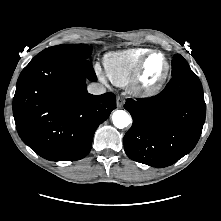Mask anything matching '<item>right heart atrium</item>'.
Returning <instances> with one entry per match:
<instances>
[{"label":"right heart atrium","instance_id":"obj_1","mask_svg":"<svg viewBox=\"0 0 221 221\" xmlns=\"http://www.w3.org/2000/svg\"><path fill=\"white\" fill-rule=\"evenodd\" d=\"M96 74L101 78L104 79V73L102 72L101 68L99 67V65H95L94 67Z\"/></svg>","mask_w":221,"mask_h":221}]
</instances>
